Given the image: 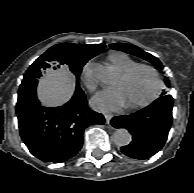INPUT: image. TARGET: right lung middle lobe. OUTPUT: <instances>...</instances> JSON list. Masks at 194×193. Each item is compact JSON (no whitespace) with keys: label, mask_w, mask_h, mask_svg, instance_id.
I'll return each instance as SVG.
<instances>
[{"label":"right lung middle lobe","mask_w":194,"mask_h":193,"mask_svg":"<svg viewBox=\"0 0 194 193\" xmlns=\"http://www.w3.org/2000/svg\"><path fill=\"white\" fill-rule=\"evenodd\" d=\"M85 62H75L72 64H68L69 69L78 77L81 73L82 67L84 66ZM29 69V68H28ZM32 73L28 70L26 71L24 75V79L20 85L19 92H18V102L27 99V98H33L36 97V86L37 83H31L30 77H32ZM81 88L77 84L76 91L75 92H81Z\"/></svg>","instance_id":"obj_1"}]
</instances>
